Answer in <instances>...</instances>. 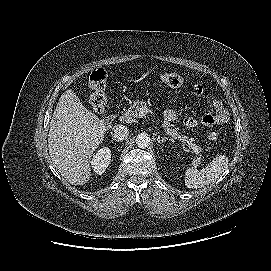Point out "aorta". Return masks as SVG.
Returning <instances> with one entry per match:
<instances>
[{"label":"aorta","instance_id":"1","mask_svg":"<svg viewBox=\"0 0 271 271\" xmlns=\"http://www.w3.org/2000/svg\"><path fill=\"white\" fill-rule=\"evenodd\" d=\"M136 144L139 148H147L151 144V139L148 134L140 133L136 137Z\"/></svg>","mask_w":271,"mask_h":271}]
</instances>
